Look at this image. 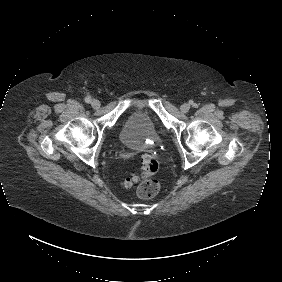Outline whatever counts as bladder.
Instances as JSON below:
<instances>
[{
  "instance_id": "31cf9c89",
  "label": "bladder",
  "mask_w": 282,
  "mask_h": 282,
  "mask_svg": "<svg viewBox=\"0 0 282 282\" xmlns=\"http://www.w3.org/2000/svg\"><path fill=\"white\" fill-rule=\"evenodd\" d=\"M120 143L132 151H146L157 147L161 137L157 125L145 109H135L123 121Z\"/></svg>"
}]
</instances>
